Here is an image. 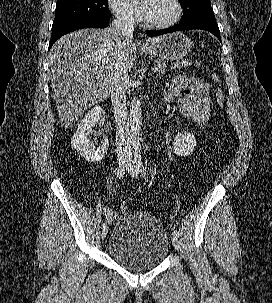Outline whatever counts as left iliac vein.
<instances>
[{
  "label": "left iliac vein",
  "instance_id": "left-iliac-vein-1",
  "mask_svg": "<svg viewBox=\"0 0 272 303\" xmlns=\"http://www.w3.org/2000/svg\"><path fill=\"white\" fill-rule=\"evenodd\" d=\"M126 170L130 176L137 178L139 174V170L131 158L127 160ZM172 244L175 247V249L177 250L179 249L180 247L179 238L175 235H172Z\"/></svg>",
  "mask_w": 272,
  "mask_h": 303
}]
</instances>
